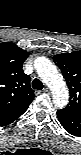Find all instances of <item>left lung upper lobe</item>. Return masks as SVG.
<instances>
[{
  "label": "left lung upper lobe",
  "instance_id": "obj_1",
  "mask_svg": "<svg viewBox=\"0 0 81 155\" xmlns=\"http://www.w3.org/2000/svg\"><path fill=\"white\" fill-rule=\"evenodd\" d=\"M70 92V102L63 108L68 114L81 117V54L79 51L54 55Z\"/></svg>",
  "mask_w": 81,
  "mask_h": 155
}]
</instances>
